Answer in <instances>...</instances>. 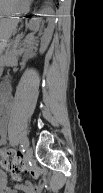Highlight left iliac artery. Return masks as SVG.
<instances>
[{
    "mask_svg": "<svg viewBox=\"0 0 103 193\" xmlns=\"http://www.w3.org/2000/svg\"><path fill=\"white\" fill-rule=\"evenodd\" d=\"M21 148L24 150L27 147V142L25 140H21Z\"/></svg>",
    "mask_w": 103,
    "mask_h": 193,
    "instance_id": "left-iliac-artery-1",
    "label": "left iliac artery"
}]
</instances>
